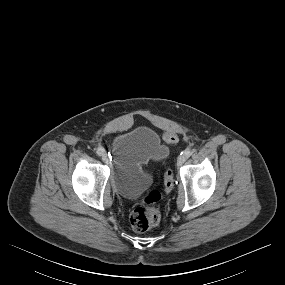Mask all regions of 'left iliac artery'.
<instances>
[{"instance_id": "1", "label": "left iliac artery", "mask_w": 285, "mask_h": 285, "mask_svg": "<svg viewBox=\"0 0 285 285\" xmlns=\"http://www.w3.org/2000/svg\"><path fill=\"white\" fill-rule=\"evenodd\" d=\"M192 152H193L192 149L187 148V149L183 152V154H184L186 157H189V156H191Z\"/></svg>"}]
</instances>
